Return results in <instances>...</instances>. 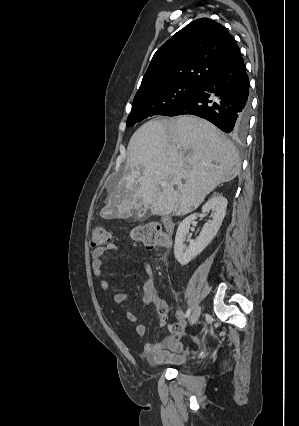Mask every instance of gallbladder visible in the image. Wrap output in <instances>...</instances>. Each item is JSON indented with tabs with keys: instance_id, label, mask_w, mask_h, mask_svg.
<instances>
[{
	"instance_id": "gallbladder-1",
	"label": "gallbladder",
	"mask_w": 299,
	"mask_h": 426,
	"mask_svg": "<svg viewBox=\"0 0 299 426\" xmlns=\"http://www.w3.org/2000/svg\"><path fill=\"white\" fill-rule=\"evenodd\" d=\"M135 212H137L138 219L140 220H146L149 216L147 210L143 208L138 210H135V209L131 210V213H135Z\"/></svg>"
}]
</instances>
